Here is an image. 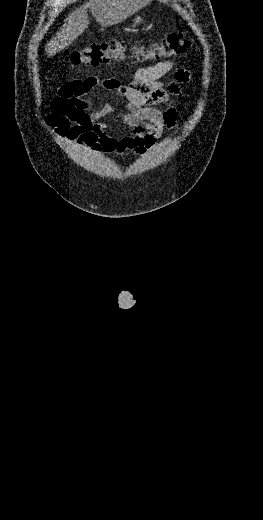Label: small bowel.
Returning <instances> with one entry per match:
<instances>
[{"instance_id": "c3829d8e", "label": "small bowel", "mask_w": 263, "mask_h": 520, "mask_svg": "<svg viewBox=\"0 0 263 520\" xmlns=\"http://www.w3.org/2000/svg\"><path fill=\"white\" fill-rule=\"evenodd\" d=\"M170 72L174 73L173 78L164 80ZM189 79V72L176 62L163 61L139 68L129 84L115 78L74 80L58 90L45 123L58 136L96 153L142 155L155 145L165 129L176 125L174 101L181 94V85ZM96 88L114 91L126 99L127 111L121 117L130 134L115 139L108 133L107 123L99 121L113 109L106 103L91 104L88 95ZM158 105L165 108L159 110Z\"/></svg>"}]
</instances>
